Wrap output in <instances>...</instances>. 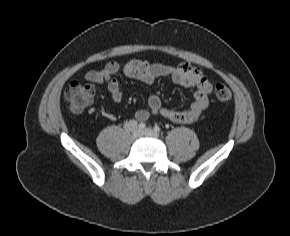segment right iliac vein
Returning <instances> with one entry per match:
<instances>
[{
	"label": "right iliac vein",
	"mask_w": 290,
	"mask_h": 236,
	"mask_svg": "<svg viewBox=\"0 0 290 236\" xmlns=\"http://www.w3.org/2000/svg\"><path fill=\"white\" fill-rule=\"evenodd\" d=\"M142 136V132L139 129H135L132 133V137L134 139H138Z\"/></svg>",
	"instance_id": "1"
}]
</instances>
